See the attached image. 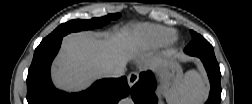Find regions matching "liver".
<instances>
[{"label":"liver","mask_w":252,"mask_h":104,"mask_svg":"<svg viewBox=\"0 0 252 104\" xmlns=\"http://www.w3.org/2000/svg\"><path fill=\"white\" fill-rule=\"evenodd\" d=\"M143 42L128 30L99 38L93 32L70 34L63 39L62 50L54 62L53 81L67 90H81L101 78L104 70L134 59ZM146 67L158 68L162 60L151 54L141 56Z\"/></svg>","instance_id":"liver-1"}]
</instances>
